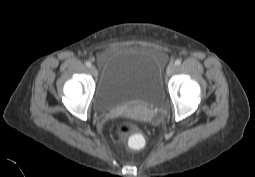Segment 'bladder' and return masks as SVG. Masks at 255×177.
Listing matches in <instances>:
<instances>
[{"instance_id": "1", "label": "bladder", "mask_w": 255, "mask_h": 177, "mask_svg": "<svg viewBox=\"0 0 255 177\" xmlns=\"http://www.w3.org/2000/svg\"><path fill=\"white\" fill-rule=\"evenodd\" d=\"M164 99L158 59L149 51H128L103 70L94 105L98 113H103L123 106L156 107Z\"/></svg>"}]
</instances>
